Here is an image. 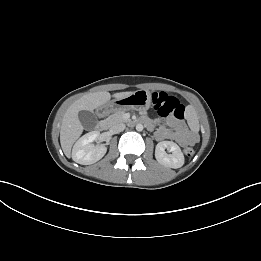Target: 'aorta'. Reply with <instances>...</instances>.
<instances>
[{
	"instance_id": "762f6f07",
	"label": "aorta",
	"mask_w": 261,
	"mask_h": 261,
	"mask_svg": "<svg viewBox=\"0 0 261 261\" xmlns=\"http://www.w3.org/2000/svg\"><path fill=\"white\" fill-rule=\"evenodd\" d=\"M136 130L137 131H142L143 130V125L142 124H137L136 125Z\"/></svg>"
}]
</instances>
